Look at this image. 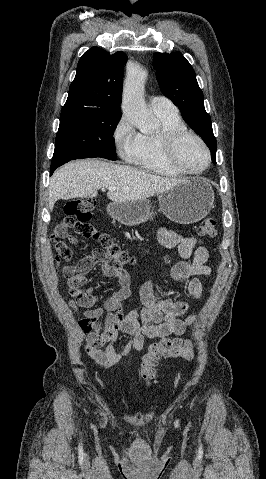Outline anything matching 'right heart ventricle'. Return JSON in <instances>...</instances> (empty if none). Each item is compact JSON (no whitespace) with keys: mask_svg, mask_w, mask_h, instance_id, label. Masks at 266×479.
<instances>
[{"mask_svg":"<svg viewBox=\"0 0 266 479\" xmlns=\"http://www.w3.org/2000/svg\"><path fill=\"white\" fill-rule=\"evenodd\" d=\"M161 122V130L155 134L139 135V151L133 163L142 170L161 176L175 177L180 175L165 160L162 146V133L172 129H186L177 114L155 113Z\"/></svg>","mask_w":266,"mask_h":479,"instance_id":"obj_1","label":"right heart ventricle"}]
</instances>
